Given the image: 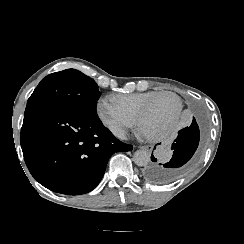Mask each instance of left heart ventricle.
Wrapping results in <instances>:
<instances>
[{
  "instance_id": "left-heart-ventricle-1",
  "label": "left heart ventricle",
  "mask_w": 244,
  "mask_h": 244,
  "mask_svg": "<svg viewBox=\"0 0 244 244\" xmlns=\"http://www.w3.org/2000/svg\"><path fill=\"white\" fill-rule=\"evenodd\" d=\"M178 107V100L169 95H165L154 102L145 112L144 120L148 127L159 126V122H165Z\"/></svg>"
}]
</instances>
